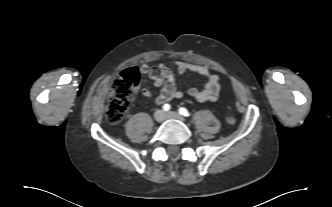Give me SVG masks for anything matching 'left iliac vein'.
<instances>
[{"instance_id": "1", "label": "left iliac vein", "mask_w": 332, "mask_h": 207, "mask_svg": "<svg viewBox=\"0 0 332 207\" xmlns=\"http://www.w3.org/2000/svg\"><path fill=\"white\" fill-rule=\"evenodd\" d=\"M165 116L169 119H176V120L185 122V119L180 114H178L177 112H174V111L167 112L165 114Z\"/></svg>"}]
</instances>
